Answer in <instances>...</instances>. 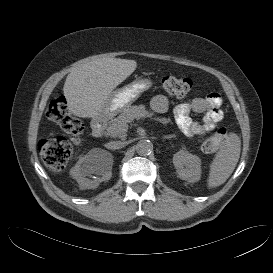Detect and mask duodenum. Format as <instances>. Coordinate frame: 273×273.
Listing matches in <instances>:
<instances>
[{
	"label": "duodenum",
	"instance_id": "1",
	"mask_svg": "<svg viewBox=\"0 0 273 273\" xmlns=\"http://www.w3.org/2000/svg\"><path fill=\"white\" fill-rule=\"evenodd\" d=\"M106 122L103 118L97 117L92 122V137L100 138L105 129Z\"/></svg>",
	"mask_w": 273,
	"mask_h": 273
}]
</instances>
